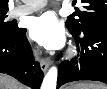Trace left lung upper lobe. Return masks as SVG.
<instances>
[{
	"instance_id": "left-lung-upper-lobe-1",
	"label": "left lung upper lobe",
	"mask_w": 107,
	"mask_h": 89,
	"mask_svg": "<svg viewBox=\"0 0 107 89\" xmlns=\"http://www.w3.org/2000/svg\"><path fill=\"white\" fill-rule=\"evenodd\" d=\"M85 11L77 9L67 18L66 26L76 32L95 23H107V0H81ZM76 16V18H74Z\"/></svg>"
}]
</instances>
